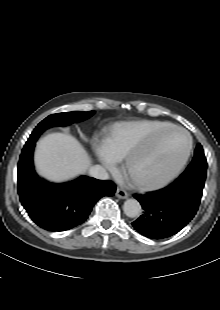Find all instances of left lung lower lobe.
Returning a JSON list of instances; mask_svg holds the SVG:
<instances>
[{"label":"left lung lower lobe","mask_w":220,"mask_h":310,"mask_svg":"<svg viewBox=\"0 0 220 310\" xmlns=\"http://www.w3.org/2000/svg\"><path fill=\"white\" fill-rule=\"evenodd\" d=\"M204 182L198 179H176L166 188L145 195H135L143 214L133 227L151 239L170 237L184 228L195 216Z\"/></svg>","instance_id":"left-lung-lower-lobe-1"}]
</instances>
